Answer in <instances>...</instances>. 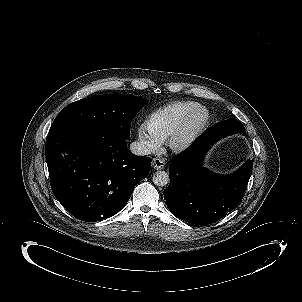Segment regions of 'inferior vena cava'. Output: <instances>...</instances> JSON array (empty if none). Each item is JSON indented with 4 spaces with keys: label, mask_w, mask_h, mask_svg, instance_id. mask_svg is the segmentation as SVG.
Segmentation results:
<instances>
[{
    "label": "inferior vena cava",
    "mask_w": 302,
    "mask_h": 302,
    "mask_svg": "<svg viewBox=\"0 0 302 302\" xmlns=\"http://www.w3.org/2000/svg\"><path fill=\"white\" fill-rule=\"evenodd\" d=\"M130 151L138 156H146L151 153L150 149L146 145L138 141L130 144Z\"/></svg>",
    "instance_id": "inferior-vena-cava-1"
}]
</instances>
